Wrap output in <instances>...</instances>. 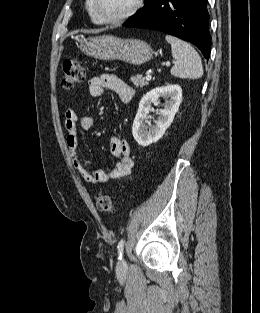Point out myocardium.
Masks as SVG:
<instances>
[{
    "mask_svg": "<svg viewBox=\"0 0 260 313\" xmlns=\"http://www.w3.org/2000/svg\"><path fill=\"white\" fill-rule=\"evenodd\" d=\"M142 5H143V0H134L130 9L127 10L125 13H123L122 15H120L118 17L108 18V17H104L100 13V11L98 9V0H92L93 11H94L96 17L98 18V20L103 24H120V23L128 20L132 16H134L140 10Z\"/></svg>",
    "mask_w": 260,
    "mask_h": 313,
    "instance_id": "f54148a6",
    "label": "myocardium"
}]
</instances>
